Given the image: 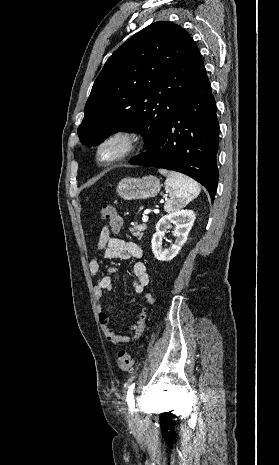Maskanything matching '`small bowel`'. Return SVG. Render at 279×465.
<instances>
[{
  "label": "small bowel",
  "mask_w": 279,
  "mask_h": 465,
  "mask_svg": "<svg viewBox=\"0 0 279 465\" xmlns=\"http://www.w3.org/2000/svg\"><path fill=\"white\" fill-rule=\"evenodd\" d=\"M101 253L106 259H135L136 261L133 265V274L136 280L133 283V289L136 294L144 293L150 280L146 266L141 260L143 250L138 243L112 237L110 235L109 228L107 226H103L95 251L89 261V271L94 277H97L100 272ZM116 271V268L110 267L107 269V274L98 277L97 284L94 286V297L98 305L99 322L106 340L113 345H118L120 343L129 344L136 341L143 334L148 311L145 307L140 309L137 321L135 324L130 326L127 334L116 332L111 327L109 315L102 309L101 302L105 298V292L110 291L113 288V280L110 274ZM144 296L146 303L148 305H152L154 302L153 296L150 293H146Z\"/></svg>",
  "instance_id": "obj_1"
}]
</instances>
